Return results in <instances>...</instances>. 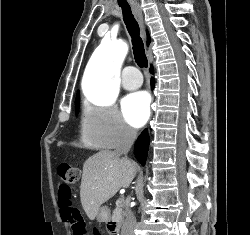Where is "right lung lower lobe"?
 <instances>
[{
    "label": "right lung lower lobe",
    "instance_id": "98d812e1",
    "mask_svg": "<svg viewBox=\"0 0 250 235\" xmlns=\"http://www.w3.org/2000/svg\"><path fill=\"white\" fill-rule=\"evenodd\" d=\"M150 72L151 73L153 72L152 67L150 68ZM151 86L152 88L154 87L153 80L151 82ZM148 148H149V134L147 130H144L137 139L134 146L135 156L142 165H145L146 163Z\"/></svg>",
    "mask_w": 250,
    "mask_h": 235
}]
</instances>
